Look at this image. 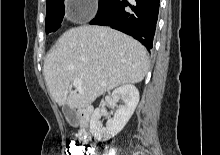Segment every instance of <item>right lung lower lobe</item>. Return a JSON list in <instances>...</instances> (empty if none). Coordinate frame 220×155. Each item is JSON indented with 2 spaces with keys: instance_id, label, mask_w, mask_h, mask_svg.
Instances as JSON below:
<instances>
[{
  "instance_id": "1",
  "label": "right lung lower lobe",
  "mask_w": 220,
  "mask_h": 155,
  "mask_svg": "<svg viewBox=\"0 0 220 155\" xmlns=\"http://www.w3.org/2000/svg\"><path fill=\"white\" fill-rule=\"evenodd\" d=\"M114 0L90 22L106 25L131 35L152 49L159 12V0Z\"/></svg>"
}]
</instances>
